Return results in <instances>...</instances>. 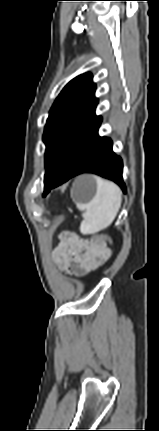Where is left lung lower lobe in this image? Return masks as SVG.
Listing matches in <instances>:
<instances>
[{"label": "left lung lower lobe", "mask_w": 159, "mask_h": 431, "mask_svg": "<svg viewBox=\"0 0 159 431\" xmlns=\"http://www.w3.org/2000/svg\"><path fill=\"white\" fill-rule=\"evenodd\" d=\"M99 118L84 129L69 148L60 170L45 189L46 195L52 188L81 173H95L116 182L126 192L122 179V160L112 150V141L98 135Z\"/></svg>", "instance_id": "left-lung-lower-lobe-1"}]
</instances>
